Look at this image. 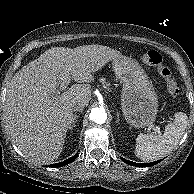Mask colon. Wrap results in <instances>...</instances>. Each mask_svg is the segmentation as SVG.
<instances>
[{"instance_id": "5ec220e1", "label": "colon", "mask_w": 194, "mask_h": 194, "mask_svg": "<svg viewBox=\"0 0 194 194\" xmlns=\"http://www.w3.org/2000/svg\"><path fill=\"white\" fill-rule=\"evenodd\" d=\"M142 60L147 65L156 68L159 76L165 82L167 91L171 96L175 97L179 94L180 90L178 84L170 69L165 65L163 61V56L160 52L155 50H149L143 54Z\"/></svg>"}]
</instances>
